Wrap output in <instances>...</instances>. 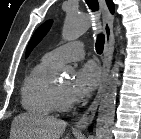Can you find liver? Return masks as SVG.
<instances>
[{"label":"liver","instance_id":"1","mask_svg":"<svg viewBox=\"0 0 141 139\" xmlns=\"http://www.w3.org/2000/svg\"><path fill=\"white\" fill-rule=\"evenodd\" d=\"M64 120L40 113H23L11 124V139H60L66 129Z\"/></svg>","mask_w":141,"mask_h":139}]
</instances>
